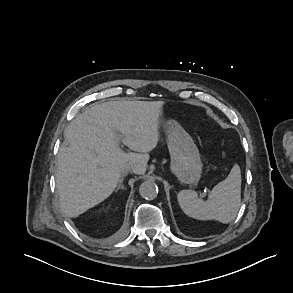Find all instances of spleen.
<instances>
[{"mask_svg": "<svg viewBox=\"0 0 293 293\" xmlns=\"http://www.w3.org/2000/svg\"><path fill=\"white\" fill-rule=\"evenodd\" d=\"M183 212L198 220L233 221L241 205V171L235 164L228 177L213 187L208 200L203 201L194 190H182L177 195Z\"/></svg>", "mask_w": 293, "mask_h": 293, "instance_id": "spleen-1", "label": "spleen"}]
</instances>
